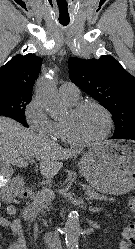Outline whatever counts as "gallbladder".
I'll return each mask as SVG.
<instances>
[{
	"label": "gallbladder",
	"mask_w": 135,
	"mask_h": 249,
	"mask_svg": "<svg viewBox=\"0 0 135 249\" xmlns=\"http://www.w3.org/2000/svg\"><path fill=\"white\" fill-rule=\"evenodd\" d=\"M8 169H9L8 166H6V165H4V164H2V163L0 162V175L6 174L7 171H8Z\"/></svg>",
	"instance_id": "obj_1"
}]
</instances>
